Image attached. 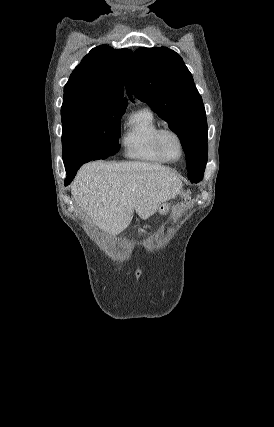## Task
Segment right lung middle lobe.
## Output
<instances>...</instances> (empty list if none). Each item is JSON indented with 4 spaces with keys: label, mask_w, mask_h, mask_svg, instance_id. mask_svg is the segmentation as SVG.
Wrapping results in <instances>:
<instances>
[{
    "label": "right lung middle lobe",
    "mask_w": 274,
    "mask_h": 427,
    "mask_svg": "<svg viewBox=\"0 0 274 427\" xmlns=\"http://www.w3.org/2000/svg\"><path fill=\"white\" fill-rule=\"evenodd\" d=\"M127 105L86 103L61 109L65 166L105 159L120 148L119 120Z\"/></svg>",
    "instance_id": "right-lung-middle-lobe-1"
}]
</instances>
